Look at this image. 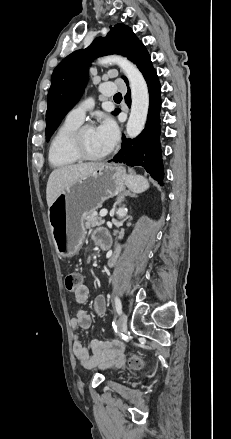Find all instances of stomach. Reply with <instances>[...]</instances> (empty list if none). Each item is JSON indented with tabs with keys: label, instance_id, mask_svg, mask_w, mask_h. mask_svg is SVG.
Returning a JSON list of instances; mask_svg holds the SVG:
<instances>
[{
	"label": "stomach",
	"instance_id": "0dacf381",
	"mask_svg": "<svg viewBox=\"0 0 231 439\" xmlns=\"http://www.w3.org/2000/svg\"><path fill=\"white\" fill-rule=\"evenodd\" d=\"M126 178L123 167L105 164L95 173L77 180L55 199L48 209V219L60 256L70 258L79 252L86 234L85 216L123 192Z\"/></svg>",
	"mask_w": 231,
	"mask_h": 439
}]
</instances>
